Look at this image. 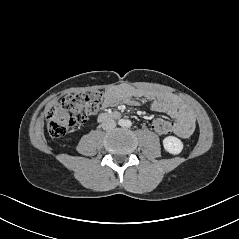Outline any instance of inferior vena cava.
Returning a JSON list of instances; mask_svg holds the SVG:
<instances>
[{
    "mask_svg": "<svg viewBox=\"0 0 239 239\" xmlns=\"http://www.w3.org/2000/svg\"><path fill=\"white\" fill-rule=\"evenodd\" d=\"M104 130H112L116 127V122L113 119L107 118L101 124Z\"/></svg>",
    "mask_w": 239,
    "mask_h": 239,
    "instance_id": "obj_1",
    "label": "inferior vena cava"
}]
</instances>
